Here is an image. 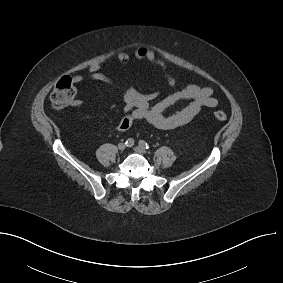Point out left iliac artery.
Instances as JSON below:
<instances>
[{"mask_svg":"<svg viewBox=\"0 0 283 283\" xmlns=\"http://www.w3.org/2000/svg\"><path fill=\"white\" fill-rule=\"evenodd\" d=\"M139 145L141 147L145 148V149H149L150 148V145L147 142H145L144 140H140L139 141Z\"/></svg>","mask_w":283,"mask_h":283,"instance_id":"obj_1","label":"left iliac artery"}]
</instances>
